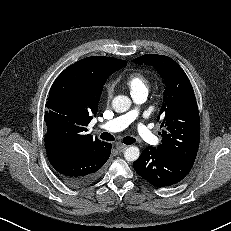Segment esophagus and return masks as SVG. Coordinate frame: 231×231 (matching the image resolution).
<instances>
[{
  "instance_id": "obj_1",
  "label": "esophagus",
  "mask_w": 231,
  "mask_h": 231,
  "mask_svg": "<svg viewBox=\"0 0 231 231\" xmlns=\"http://www.w3.org/2000/svg\"><path fill=\"white\" fill-rule=\"evenodd\" d=\"M116 148H117L118 152H124L126 150L127 146L123 145V144H117Z\"/></svg>"
}]
</instances>
